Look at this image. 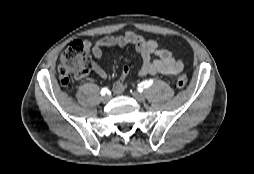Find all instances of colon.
Instances as JSON below:
<instances>
[{
  "label": "colon",
  "mask_w": 254,
  "mask_h": 174,
  "mask_svg": "<svg viewBox=\"0 0 254 174\" xmlns=\"http://www.w3.org/2000/svg\"><path fill=\"white\" fill-rule=\"evenodd\" d=\"M88 56L84 43L73 41L63 52L58 66V78L62 86H68L73 77L88 71ZM187 84V77L180 75L176 86L180 89Z\"/></svg>",
  "instance_id": "colon-1"
}]
</instances>
